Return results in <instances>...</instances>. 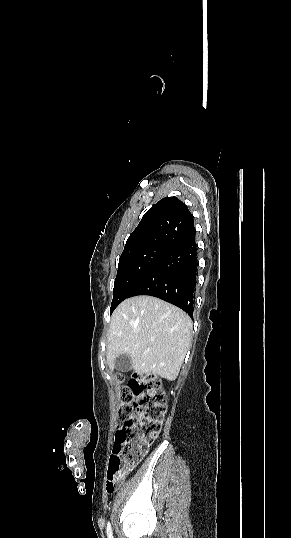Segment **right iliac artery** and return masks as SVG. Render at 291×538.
<instances>
[{"instance_id":"82829eb1","label":"right iliac artery","mask_w":291,"mask_h":538,"mask_svg":"<svg viewBox=\"0 0 291 538\" xmlns=\"http://www.w3.org/2000/svg\"><path fill=\"white\" fill-rule=\"evenodd\" d=\"M106 531H107L108 538H113L110 522L107 523Z\"/></svg>"}]
</instances>
